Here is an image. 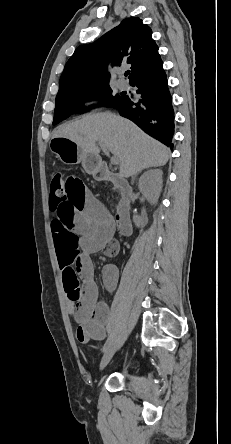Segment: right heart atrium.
<instances>
[{"label":"right heart atrium","mask_w":231,"mask_h":444,"mask_svg":"<svg viewBox=\"0 0 231 444\" xmlns=\"http://www.w3.org/2000/svg\"><path fill=\"white\" fill-rule=\"evenodd\" d=\"M100 104V99L98 97H90L86 101V105L90 108H96Z\"/></svg>","instance_id":"right-heart-atrium-1"}]
</instances>
